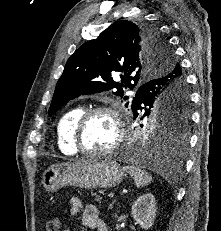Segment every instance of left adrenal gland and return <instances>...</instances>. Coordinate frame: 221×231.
<instances>
[{
    "mask_svg": "<svg viewBox=\"0 0 221 231\" xmlns=\"http://www.w3.org/2000/svg\"><path fill=\"white\" fill-rule=\"evenodd\" d=\"M113 204H114V202L112 204H110L109 208H112Z\"/></svg>",
    "mask_w": 221,
    "mask_h": 231,
    "instance_id": "obj_1",
    "label": "left adrenal gland"
}]
</instances>
